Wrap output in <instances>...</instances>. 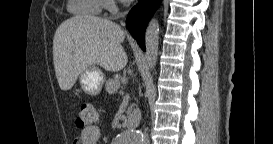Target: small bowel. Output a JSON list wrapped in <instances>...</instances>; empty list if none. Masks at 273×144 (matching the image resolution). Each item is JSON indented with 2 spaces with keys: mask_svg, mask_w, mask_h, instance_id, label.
Masks as SVG:
<instances>
[{
  "mask_svg": "<svg viewBox=\"0 0 273 144\" xmlns=\"http://www.w3.org/2000/svg\"><path fill=\"white\" fill-rule=\"evenodd\" d=\"M100 129L96 126L83 129L73 144H98L100 140Z\"/></svg>",
  "mask_w": 273,
  "mask_h": 144,
  "instance_id": "c3829d8e",
  "label": "small bowel"
}]
</instances>
